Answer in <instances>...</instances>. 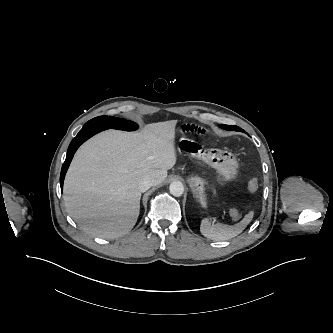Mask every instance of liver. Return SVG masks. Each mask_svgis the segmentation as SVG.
<instances>
[{
	"label": "liver",
	"instance_id": "1",
	"mask_svg": "<svg viewBox=\"0 0 333 333\" xmlns=\"http://www.w3.org/2000/svg\"><path fill=\"white\" fill-rule=\"evenodd\" d=\"M176 120L151 123L139 132L108 130L77 151L64 181V204L85 232L117 238L135 225L139 182L162 183L176 163Z\"/></svg>",
	"mask_w": 333,
	"mask_h": 333
}]
</instances>
